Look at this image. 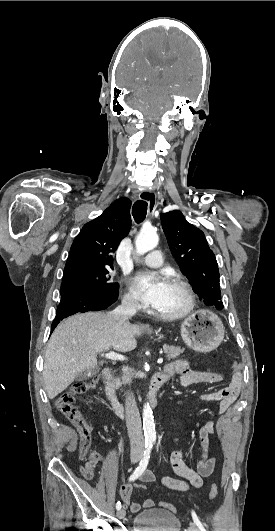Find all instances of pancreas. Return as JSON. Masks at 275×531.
Wrapping results in <instances>:
<instances>
[{
	"instance_id": "1",
	"label": "pancreas",
	"mask_w": 275,
	"mask_h": 531,
	"mask_svg": "<svg viewBox=\"0 0 275 531\" xmlns=\"http://www.w3.org/2000/svg\"><path fill=\"white\" fill-rule=\"evenodd\" d=\"M163 351L166 353L167 361H172V359H178L181 353H184L185 349H181V347H173V345H163ZM128 375L129 373H125L123 377L113 379V383H115L117 387H122V385H126V383H131V377H128Z\"/></svg>"
}]
</instances>
